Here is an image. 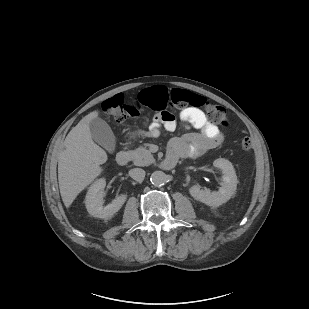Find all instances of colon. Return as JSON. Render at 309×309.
I'll return each mask as SVG.
<instances>
[{
	"instance_id": "1",
	"label": "colon",
	"mask_w": 309,
	"mask_h": 309,
	"mask_svg": "<svg viewBox=\"0 0 309 309\" xmlns=\"http://www.w3.org/2000/svg\"><path fill=\"white\" fill-rule=\"evenodd\" d=\"M144 107L157 112V117L161 120L169 118L170 108H203L212 121L223 127L229 126V119L223 107L210 103L200 94L179 88L168 89L159 85L144 90L134 103H126L122 94H116L102 103V110L116 122L140 115ZM240 146L244 151H249L252 148L251 138L242 137Z\"/></svg>"
}]
</instances>
